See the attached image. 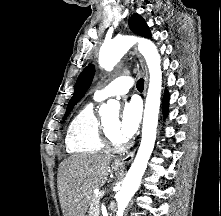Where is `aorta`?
<instances>
[{
	"instance_id": "1",
	"label": "aorta",
	"mask_w": 221,
	"mask_h": 216,
	"mask_svg": "<svg viewBox=\"0 0 221 216\" xmlns=\"http://www.w3.org/2000/svg\"><path fill=\"white\" fill-rule=\"evenodd\" d=\"M135 43H138V50L146 60L150 80L144 109L141 144L122 186L115 196L117 214H123L132 196L138 190L154 148L162 90L161 57L155 44L150 40L127 35L117 36L105 42L99 52L100 66L111 71ZM119 108L118 101L109 100L100 107L99 114L107 116L110 113H118Z\"/></svg>"
}]
</instances>
